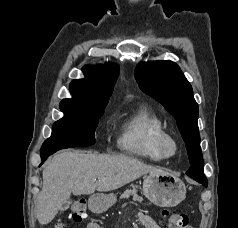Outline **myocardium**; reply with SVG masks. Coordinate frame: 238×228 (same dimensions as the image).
Returning a JSON list of instances; mask_svg holds the SVG:
<instances>
[{
	"instance_id": "f54148a6",
	"label": "myocardium",
	"mask_w": 238,
	"mask_h": 228,
	"mask_svg": "<svg viewBox=\"0 0 238 228\" xmlns=\"http://www.w3.org/2000/svg\"><path fill=\"white\" fill-rule=\"evenodd\" d=\"M156 147L164 158H172L179 152L176 139L165 130L161 132L156 141Z\"/></svg>"
}]
</instances>
